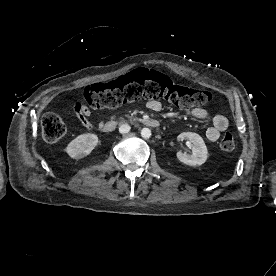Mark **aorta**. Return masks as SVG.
I'll list each match as a JSON object with an SVG mask.
<instances>
[{
  "label": "aorta",
  "mask_w": 276,
  "mask_h": 276,
  "mask_svg": "<svg viewBox=\"0 0 276 276\" xmlns=\"http://www.w3.org/2000/svg\"><path fill=\"white\" fill-rule=\"evenodd\" d=\"M141 136L144 138V139H148L151 137V130L149 128H143L141 130Z\"/></svg>",
  "instance_id": "obj_1"
}]
</instances>
